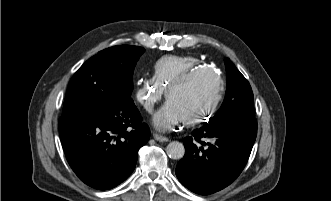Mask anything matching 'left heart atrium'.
Segmentation results:
<instances>
[{
	"instance_id": "39dd6f15",
	"label": "left heart atrium",
	"mask_w": 331,
	"mask_h": 201,
	"mask_svg": "<svg viewBox=\"0 0 331 201\" xmlns=\"http://www.w3.org/2000/svg\"><path fill=\"white\" fill-rule=\"evenodd\" d=\"M181 121H184L183 116L177 110L175 103L169 100L166 105L155 114L153 125L158 130L164 131Z\"/></svg>"
}]
</instances>
